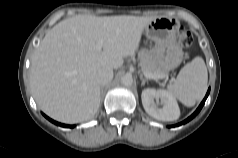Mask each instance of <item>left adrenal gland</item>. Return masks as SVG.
<instances>
[{
    "label": "left adrenal gland",
    "instance_id": "left-adrenal-gland-1",
    "mask_svg": "<svg viewBox=\"0 0 238 158\" xmlns=\"http://www.w3.org/2000/svg\"><path fill=\"white\" fill-rule=\"evenodd\" d=\"M140 80L142 81L141 86H144L145 83L148 82V80L145 79L142 74H140Z\"/></svg>",
    "mask_w": 238,
    "mask_h": 158
}]
</instances>
